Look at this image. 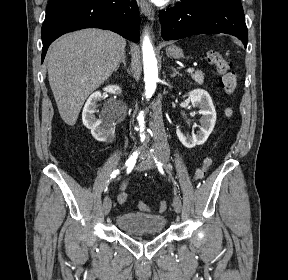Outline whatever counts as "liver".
Instances as JSON below:
<instances>
[{
	"instance_id": "6515ba94",
	"label": "liver",
	"mask_w": 288,
	"mask_h": 280,
	"mask_svg": "<svg viewBox=\"0 0 288 280\" xmlns=\"http://www.w3.org/2000/svg\"><path fill=\"white\" fill-rule=\"evenodd\" d=\"M126 40L111 31L84 29L56 41L48 52V78L62 120L73 126L87 97L115 71Z\"/></svg>"
}]
</instances>
